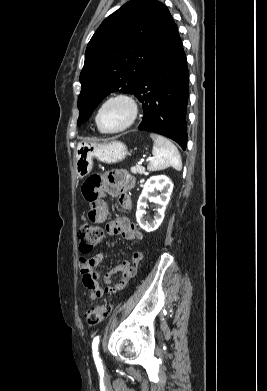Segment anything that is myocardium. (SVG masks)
Segmentation results:
<instances>
[{
	"label": "myocardium",
	"instance_id": "1",
	"mask_svg": "<svg viewBox=\"0 0 267 391\" xmlns=\"http://www.w3.org/2000/svg\"><path fill=\"white\" fill-rule=\"evenodd\" d=\"M114 101H122V102L126 103L127 106L129 107L130 115H129L127 122L122 127L115 129V130H105L104 128H102V126L100 124V114H101V111L103 110V108L107 104L114 102ZM138 113H139V106H138L136 99L129 93L119 92V93H115V94L108 96L105 100L102 101V103L100 104V106L97 109V112L95 115V122H96L97 128L100 132H102L104 134H115V133L122 132V131L128 129L129 127H131L133 125V123L136 121Z\"/></svg>",
	"mask_w": 267,
	"mask_h": 391
}]
</instances>
